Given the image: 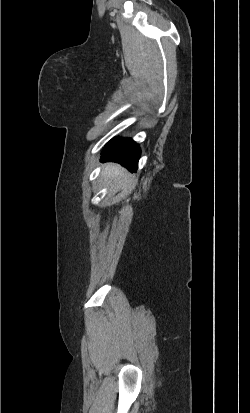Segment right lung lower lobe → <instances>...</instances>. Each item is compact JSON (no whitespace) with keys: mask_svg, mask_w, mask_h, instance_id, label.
<instances>
[{"mask_svg":"<svg viewBox=\"0 0 250 413\" xmlns=\"http://www.w3.org/2000/svg\"><path fill=\"white\" fill-rule=\"evenodd\" d=\"M139 157L140 148L133 140L113 139L102 151L101 162H118L133 172L137 170Z\"/></svg>","mask_w":250,"mask_h":413,"instance_id":"98d812e1","label":"right lung lower lobe"}]
</instances>
